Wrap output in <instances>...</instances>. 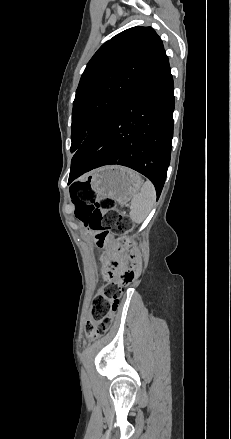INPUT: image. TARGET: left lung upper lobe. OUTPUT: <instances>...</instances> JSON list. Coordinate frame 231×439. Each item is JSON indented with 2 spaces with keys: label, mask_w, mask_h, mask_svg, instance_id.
I'll use <instances>...</instances> for the list:
<instances>
[{
  "label": "left lung upper lobe",
  "mask_w": 231,
  "mask_h": 439,
  "mask_svg": "<svg viewBox=\"0 0 231 439\" xmlns=\"http://www.w3.org/2000/svg\"><path fill=\"white\" fill-rule=\"evenodd\" d=\"M166 58L162 40L151 27H133L105 42L88 62L76 90L71 152Z\"/></svg>",
  "instance_id": "1"
}]
</instances>
